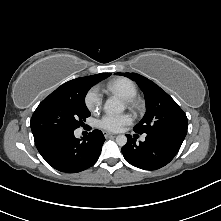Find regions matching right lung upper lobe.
<instances>
[{"label":"right lung upper lobe","instance_id":"obj_1","mask_svg":"<svg viewBox=\"0 0 221 221\" xmlns=\"http://www.w3.org/2000/svg\"><path fill=\"white\" fill-rule=\"evenodd\" d=\"M97 75H92V76H87V77H81V78H87V79H94L98 76ZM81 78H77V79H73L71 81H68L64 84H62L60 87H58L55 92H67V91H71L75 88V84L79 81V79Z\"/></svg>","mask_w":221,"mask_h":221}]
</instances>
